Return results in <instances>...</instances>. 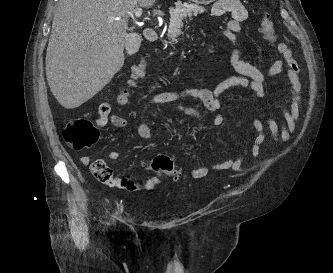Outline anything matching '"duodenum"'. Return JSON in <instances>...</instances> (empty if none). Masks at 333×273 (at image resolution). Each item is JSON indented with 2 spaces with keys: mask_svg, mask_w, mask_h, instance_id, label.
<instances>
[{
  "mask_svg": "<svg viewBox=\"0 0 333 273\" xmlns=\"http://www.w3.org/2000/svg\"><path fill=\"white\" fill-rule=\"evenodd\" d=\"M143 35L149 42H155L157 40V34L153 28H146L143 32Z\"/></svg>",
  "mask_w": 333,
  "mask_h": 273,
  "instance_id": "410a0bca",
  "label": "duodenum"
}]
</instances>
